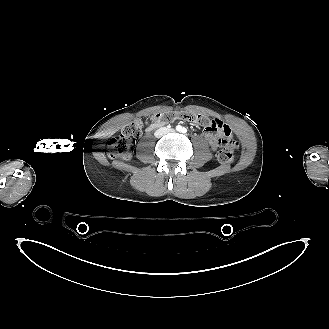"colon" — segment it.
Listing matches in <instances>:
<instances>
[{
    "instance_id": "1",
    "label": "colon",
    "mask_w": 329,
    "mask_h": 329,
    "mask_svg": "<svg viewBox=\"0 0 329 329\" xmlns=\"http://www.w3.org/2000/svg\"><path fill=\"white\" fill-rule=\"evenodd\" d=\"M151 123L156 125L171 123L177 120H183L190 123L203 126L205 129L216 131V126L220 124L218 120L217 125L212 127L210 122L214 119H210L207 116L201 114H195L185 111H167L154 114L151 117ZM144 129V123L142 119H134L129 122L122 131L112 137L108 142V154L110 158L121 161H129L133 156L132 141L134 138L141 135ZM222 146L218 152V159L223 164H230L234 159V153L236 150V142L227 137H223Z\"/></svg>"
}]
</instances>
